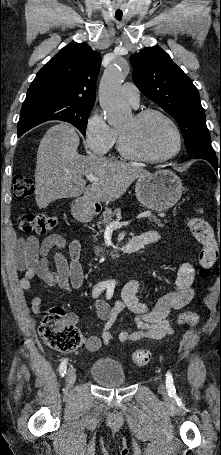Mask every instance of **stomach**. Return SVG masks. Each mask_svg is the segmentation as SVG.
<instances>
[{"instance_id": "stomach-1", "label": "stomach", "mask_w": 221, "mask_h": 455, "mask_svg": "<svg viewBox=\"0 0 221 455\" xmlns=\"http://www.w3.org/2000/svg\"><path fill=\"white\" fill-rule=\"evenodd\" d=\"M181 179L170 170H158L155 173L141 176L135 185L138 201L148 209L165 211L173 207L181 198L183 192ZM78 213L83 220L93 217L92 202L82 200Z\"/></svg>"}]
</instances>
